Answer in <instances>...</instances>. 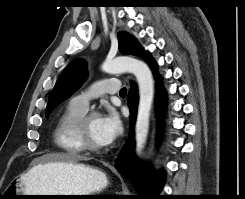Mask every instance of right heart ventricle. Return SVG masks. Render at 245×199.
<instances>
[{
    "label": "right heart ventricle",
    "mask_w": 245,
    "mask_h": 199,
    "mask_svg": "<svg viewBox=\"0 0 245 199\" xmlns=\"http://www.w3.org/2000/svg\"><path fill=\"white\" fill-rule=\"evenodd\" d=\"M85 112L69 103L55 126L54 139L57 146L70 155H78L84 151L76 139L75 128Z\"/></svg>",
    "instance_id": "1"
}]
</instances>
